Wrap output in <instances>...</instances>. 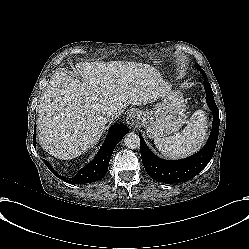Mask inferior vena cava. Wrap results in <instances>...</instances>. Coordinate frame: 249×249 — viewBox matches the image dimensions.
<instances>
[{"label": "inferior vena cava", "mask_w": 249, "mask_h": 249, "mask_svg": "<svg viewBox=\"0 0 249 249\" xmlns=\"http://www.w3.org/2000/svg\"><path fill=\"white\" fill-rule=\"evenodd\" d=\"M121 115V113L115 109V108H111L109 111H108V115H107V118H106V122H110L112 121L114 118H119Z\"/></svg>", "instance_id": "1"}]
</instances>
